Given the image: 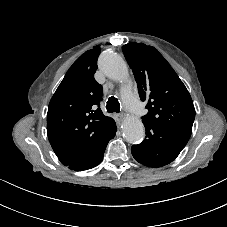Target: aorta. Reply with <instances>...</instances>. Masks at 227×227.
I'll use <instances>...</instances> for the list:
<instances>
[{
	"label": "aorta",
	"mask_w": 227,
	"mask_h": 227,
	"mask_svg": "<svg viewBox=\"0 0 227 227\" xmlns=\"http://www.w3.org/2000/svg\"><path fill=\"white\" fill-rule=\"evenodd\" d=\"M99 69L109 78L121 81L128 76V67L122 57L112 51H104L98 60ZM122 132L126 140L136 143L143 139L145 128L141 119L137 117L125 118Z\"/></svg>",
	"instance_id": "obj_1"
}]
</instances>
